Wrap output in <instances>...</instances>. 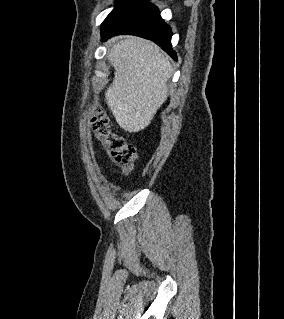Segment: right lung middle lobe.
Wrapping results in <instances>:
<instances>
[{
  "label": "right lung middle lobe",
  "mask_w": 284,
  "mask_h": 319,
  "mask_svg": "<svg viewBox=\"0 0 284 319\" xmlns=\"http://www.w3.org/2000/svg\"><path fill=\"white\" fill-rule=\"evenodd\" d=\"M138 0H117L116 7L103 21L101 30L108 27L112 22H114L118 17L125 13L129 8H131Z\"/></svg>",
  "instance_id": "right-lung-middle-lobe-1"
}]
</instances>
